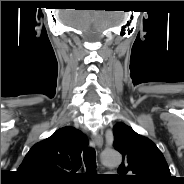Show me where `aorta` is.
<instances>
[{
  "mask_svg": "<svg viewBox=\"0 0 184 184\" xmlns=\"http://www.w3.org/2000/svg\"><path fill=\"white\" fill-rule=\"evenodd\" d=\"M101 159L106 166H118L121 164V154L116 150H104L101 155Z\"/></svg>",
  "mask_w": 184,
  "mask_h": 184,
  "instance_id": "obj_1",
  "label": "aorta"
}]
</instances>
